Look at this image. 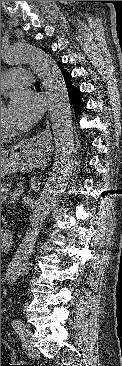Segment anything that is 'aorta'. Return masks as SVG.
I'll return each mask as SVG.
<instances>
[{"instance_id":"762f6f07","label":"aorta","mask_w":122,"mask_h":366,"mask_svg":"<svg viewBox=\"0 0 122 366\" xmlns=\"http://www.w3.org/2000/svg\"><path fill=\"white\" fill-rule=\"evenodd\" d=\"M1 56L8 66L28 65L41 79L49 101L50 122L56 147L53 165L31 216L29 228L12 261V264L17 263L15 274L19 275L34 248L44 221L72 176L74 132L67 88L53 58L44 50L26 42L2 47Z\"/></svg>"}]
</instances>
